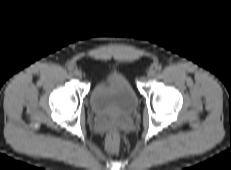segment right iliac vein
Instances as JSON below:
<instances>
[{
  "label": "right iliac vein",
  "instance_id": "right-iliac-vein-1",
  "mask_svg": "<svg viewBox=\"0 0 231 170\" xmlns=\"http://www.w3.org/2000/svg\"><path fill=\"white\" fill-rule=\"evenodd\" d=\"M73 74H74L76 77H78V78H81V77H82L81 71H80L79 69H77V68L74 69Z\"/></svg>",
  "mask_w": 231,
  "mask_h": 170
}]
</instances>
